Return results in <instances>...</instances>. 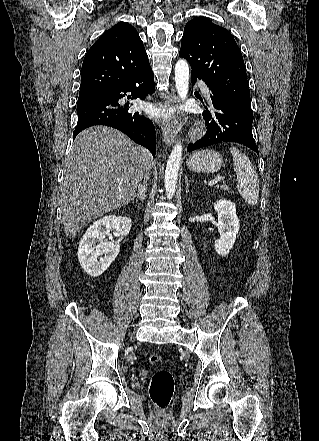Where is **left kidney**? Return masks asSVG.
Listing matches in <instances>:
<instances>
[{
  "label": "left kidney",
  "instance_id": "obj_1",
  "mask_svg": "<svg viewBox=\"0 0 319 441\" xmlns=\"http://www.w3.org/2000/svg\"><path fill=\"white\" fill-rule=\"evenodd\" d=\"M218 213L216 224L220 238L215 240L214 247L221 256H226L232 249L239 231V219L236 215L235 204L230 200L221 199L214 204Z\"/></svg>",
  "mask_w": 319,
  "mask_h": 441
}]
</instances>
